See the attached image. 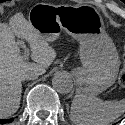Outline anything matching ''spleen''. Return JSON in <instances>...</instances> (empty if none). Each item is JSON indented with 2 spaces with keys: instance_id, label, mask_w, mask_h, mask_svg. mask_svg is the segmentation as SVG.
Instances as JSON below:
<instances>
[{
  "instance_id": "3e777b00",
  "label": "spleen",
  "mask_w": 125,
  "mask_h": 125,
  "mask_svg": "<svg viewBox=\"0 0 125 125\" xmlns=\"http://www.w3.org/2000/svg\"><path fill=\"white\" fill-rule=\"evenodd\" d=\"M125 112V99L103 101L94 96L75 95L70 118L76 125H109Z\"/></svg>"
}]
</instances>
